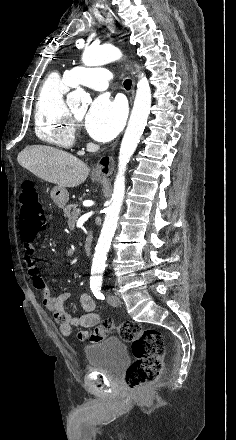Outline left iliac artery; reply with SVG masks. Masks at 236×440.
Instances as JSON below:
<instances>
[{
    "instance_id": "1",
    "label": "left iliac artery",
    "mask_w": 236,
    "mask_h": 440,
    "mask_svg": "<svg viewBox=\"0 0 236 440\" xmlns=\"http://www.w3.org/2000/svg\"><path fill=\"white\" fill-rule=\"evenodd\" d=\"M91 289H92V292H93L94 296L97 299H100V300H104L105 299L104 295L100 291L101 287L99 285L92 286Z\"/></svg>"
}]
</instances>
